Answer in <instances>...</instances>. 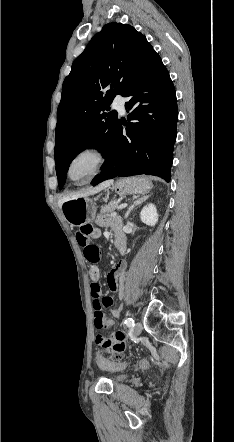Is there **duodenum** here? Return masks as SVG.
<instances>
[{"mask_svg": "<svg viewBox=\"0 0 234 442\" xmlns=\"http://www.w3.org/2000/svg\"><path fill=\"white\" fill-rule=\"evenodd\" d=\"M115 248L119 253H123L125 250V242L121 237H117L115 241Z\"/></svg>", "mask_w": 234, "mask_h": 442, "instance_id": "duodenum-1", "label": "duodenum"}]
</instances>
